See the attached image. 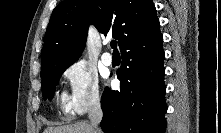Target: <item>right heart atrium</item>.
<instances>
[{"instance_id":"right-heart-atrium-1","label":"right heart atrium","mask_w":221,"mask_h":133,"mask_svg":"<svg viewBox=\"0 0 221 133\" xmlns=\"http://www.w3.org/2000/svg\"><path fill=\"white\" fill-rule=\"evenodd\" d=\"M69 87L67 97L71 111L84 114L101 104V92L97 73L84 61H76L63 72Z\"/></svg>"}]
</instances>
